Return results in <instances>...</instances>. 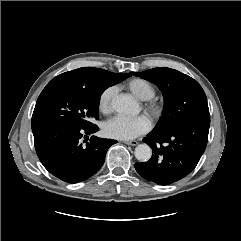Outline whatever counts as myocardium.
Listing matches in <instances>:
<instances>
[{
  "label": "myocardium",
  "instance_id": "myocardium-1",
  "mask_svg": "<svg viewBox=\"0 0 241 241\" xmlns=\"http://www.w3.org/2000/svg\"><path fill=\"white\" fill-rule=\"evenodd\" d=\"M145 109L152 118L157 119L163 112V104L158 100L149 99L145 104Z\"/></svg>",
  "mask_w": 241,
  "mask_h": 241
}]
</instances>
